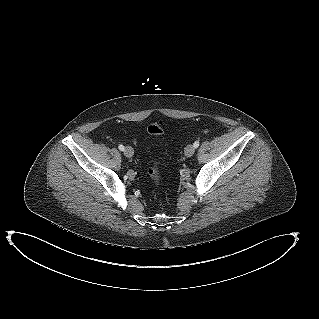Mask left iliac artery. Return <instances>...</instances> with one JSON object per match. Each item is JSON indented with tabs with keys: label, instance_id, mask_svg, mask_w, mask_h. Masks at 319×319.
<instances>
[{
	"label": "left iliac artery",
	"instance_id": "1",
	"mask_svg": "<svg viewBox=\"0 0 319 319\" xmlns=\"http://www.w3.org/2000/svg\"><path fill=\"white\" fill-rule=\"evenodd\" d=\"M199 144H200V142L197 140V141L194 142L193 146H194L195 148H197V147L199 146Z\"/></svg>",
	"mask_w": 319,
	"mask_h": 319
}]
</instances>
